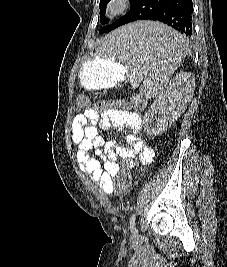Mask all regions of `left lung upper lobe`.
Listing matches in <instances>:
<instances>
[{"instance_id": "5c2ea615", "label": "left lung upper lobe", "mask_w": 227, "mask_h": 267, "mask_svg": "<svg viewBox=\"0 0 227 267\" xmlns=\"http://www.w3.org/2000/svg\"><path fill=\"white\" fill-rule=\"evenodd\" d=\"M110 0H100V19L102 22H107V20L104 18V15H105V7L107 5V3L109 2Z\"/></svg>"}]
</instances>
